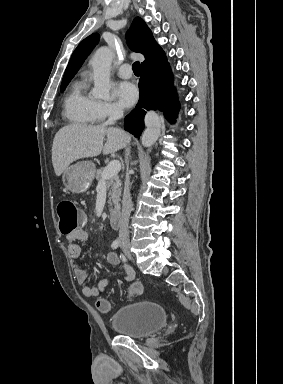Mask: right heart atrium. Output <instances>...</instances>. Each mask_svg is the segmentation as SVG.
Returning <instances> with one entry per match:
<instances>
[{
  "instance_id": "d8ad5b80",
  "label": "right heart atrium",
  "mask_w": 283,
  "mask_h": 384,
  "mask_svg": "<svg viewBox=\"0 0 283 384\" xmlns=\"http://www.w3.org/2000/svg\"><path fill=\"white\" fill-rule=\"evenodd\" d=\"M96 111L98 121H106L115 118L121 112V108L115 102L97 101Z\"/></svg>"
}]
</instances>
